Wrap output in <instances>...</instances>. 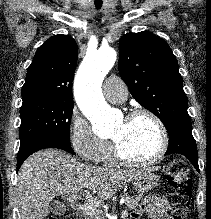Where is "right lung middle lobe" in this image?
<instances>
[{
    "instance_id": "right-lung-middle-lobe-1",
    "label": "right lung middle lobe",
    "mask_w": 211,
    "mask_h": 219,
    "mask_svg": "<svg viewBox=\"0 0 211 219\" xmlns=\"http://www.w3.org/2000/svg\"><path fill=\"white\" fill-rule=\"evenodd\" d=\"M73 102L48 98L23 101L20 108V147L43 138L70 144Z\"/></svg>"
}]
</instances>
